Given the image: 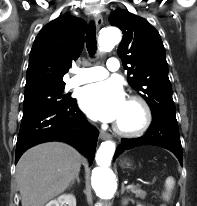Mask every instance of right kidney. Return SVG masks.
<instances>
[{
    "label": "right kidney",
    "mask_w": 197,
    "mask_h": 206,
    "mask_svg": "<svg viewBox=\"0 0 197 206\" xmlns=\"http://www.w3.org/2000/svg\"><path fill=\"white\" fill-rule=\"evenodd\" d=\"M45 206H76V198L72 194H64L50 201Z\"/></svg>",
    "instance_id": "1"
}]
</instances>
